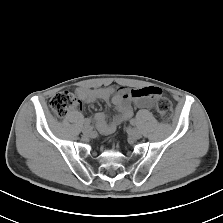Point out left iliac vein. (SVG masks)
Listing matches in <instances>:
<instances>
[{
    "mask_svg": "<svg viewBox=\"0 0 223 223\" xmlns=\"http://www.w3.org/2000/svg\"><path fill=\"white\" fill-rule=\"evenodd\" d=\"M128 134L130 136V138H132L133 140H137L140 139L142 136V133L139 129L137 128H131L128 130Z\"/></svg>",
    "mask_w": 223,
    "mask_h": 223,
    "instance_id": "left-iliac-vein-1",
    "label": "left iliac vein"
}]
</instances>
